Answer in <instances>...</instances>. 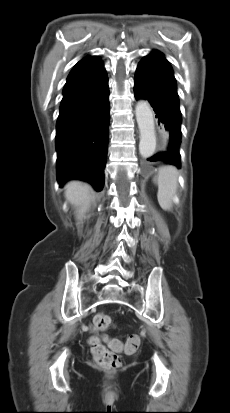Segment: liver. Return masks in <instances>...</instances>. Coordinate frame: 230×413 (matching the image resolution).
I'll list each match as a JSON object with an SVG mask.
<instances>
[{"label": "liver", "instance_id": "obj_1", "mask_svg": "<svg viewBox=\"0 0 230 413\" xmlns=\"http://www.w3.org/2000/svg\"><path fill=\"white\" fill-rule=\"evenodd\" d=\"M93 194L90 186L79 181H71L65 186L66 199L74 206L79 207L81 215L89 209L94 199Z\"/></svg>", "mask_w": 230, "mask_h": 413}]
</instances>
